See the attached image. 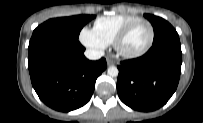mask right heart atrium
I'll list each match as a JSON object with an SVG mask.
<instances>
[{
  "label": "right heart atrium",
  "instance_id": "d8ad5b80",
  "mask_svg": "<svg viewBox=\"0 0 203 123\" xmlns=\"http://www.w3.org/2000/svg\"><path fill=\"white\" fill-rule=\"evenodd\" d=\"M80 41L83 45L96 51L103 50L106 44L102 42L92 29L84 27L80 32Z\"/></svg>",
  "mask_w": 203,
  "mask_h": 123
}]
</instances>
